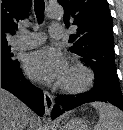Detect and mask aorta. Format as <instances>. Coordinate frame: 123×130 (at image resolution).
I'll list each match as a JSON object with an SVG mask.
<instances>
[{"label":"aorta","instance_id":"aorta-1","mask_svg":"<svg viewBox=\"0 0 123 130\" xmlns=\"http://www.w3.org/2000/svg\"><path fill=\"white\" fill-rule=\"evenodd\" d=\"M64 10L58 3H51L46 9V15L49 18L61 19L63 17Z\"/></svg>","mask_w":123,"mask_h":130}]
</instances>
